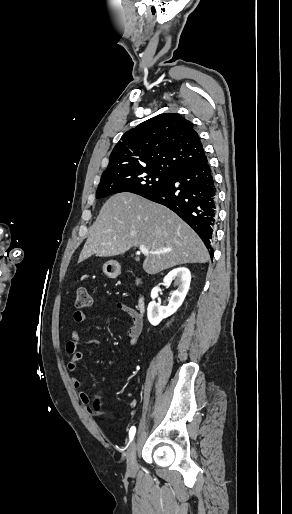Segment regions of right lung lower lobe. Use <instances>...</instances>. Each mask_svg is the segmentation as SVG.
Returning a JSON list of instances; mask_svg holds the SVG:
<instances>
[{"instance_id":"98d812e1","label":"right lung lower lobe","mask_w":292,"mask_h":514,"mask_svg":"<svg viewBox=\"0 0 292 514\" xmlns=\"http://www.w3.org/2000/svg\"><path fill=\"white\" fill-rule=\"evenodd\" d=\"M142 196L174 211L211 248L217 194L206 156L199 163L178 170L166 183ZM210 254L212 257L213 252Z\"/></svg>"}]
</instances>
